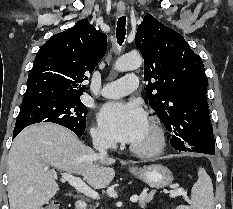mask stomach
Here are the masks:
<instances>
[{
    "label": "stomach",
    "mask_w": 233,
    "mask_h": 209,
    "mask_svg": "<svg viewBox=\"0 0 233 209\" xmlns=\"http://www.w3.org/2000/svg\"><path fill=\"white\" fill-rule=\"evenodd\" d=\"M137 178L156 189L164 188L173 182L170 169L161 164H153L130 170Z\"/></svg>",
    "instance_id": "obj_1"
}]
</instances>
